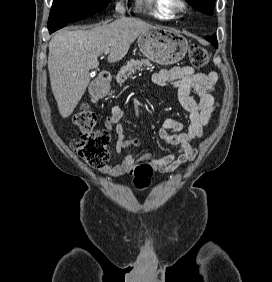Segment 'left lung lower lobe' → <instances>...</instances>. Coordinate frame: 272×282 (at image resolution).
Here are the masks:
<instances>
[{
    "mask_svg": "<svg viewBox=\"0 0 272 282\" xmlns=\"http://www.w3.org/2000/svg\"><path fill=\"white\" fill-rule=\"evenodd\" d=\"M206 40H208L209 42H211L216 48L218 47V44H217V39L215 36H212V37H206Z\"/></svg>",
    "mask_w": 272,
    "mask_h": 282,
    "instance_id": "0a47b994",
    "label": "left lung lower lobe"
}]
</instances>
